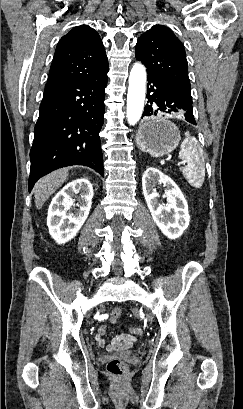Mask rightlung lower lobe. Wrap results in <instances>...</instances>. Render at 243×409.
<instances>
[{
  "instance_id": "1",
  "label": "right lung lower lobe",
  "mask_w": 243,
  "mask_h": 409,
  "mask_svg": "<svg viewBox=\"0 0 243 409\" xmlns=\"http://www.w3.org/2000/svg\"><path fill=\"white\" fill-rule=\"evenodd\" d=\"M108 69L83 81L46 84L30 151L29 191L39 178L65 166L85 165L104 176L99 132Z\"/></svg>"
}]
</instances>
